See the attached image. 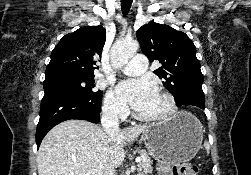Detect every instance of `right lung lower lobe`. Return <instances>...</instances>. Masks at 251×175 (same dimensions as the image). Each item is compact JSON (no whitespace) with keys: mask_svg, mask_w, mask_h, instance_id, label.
<instances>
[{"mask_svg":"<svg viewBox=\"0 0 251 175\" xmlns=\"http://www.w3.org/2000/svg\"><path fill=\"white\" fill-rule=\"evenodd\" d=\"M44 92L36 130L37 149L46 133L65 120L99 122L102 93L86 96L63 88H50Z\"/></svg>","mask_w":251,"mask_h":175,"instance_id":"1","label":"right lung lower lobe"}]
</instances>
